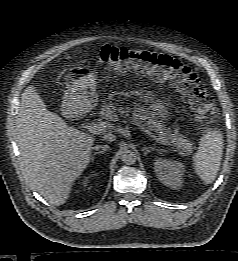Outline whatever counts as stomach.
<instances>
[{
  "label": "stomach",
  "instance_id": "obj_1",
  "mask_svg": "<svg viewBox=\"0 0 238 261\" xmlns=\"http://www.w3.org/2000/svg\"><path fill=\"white\" fill-rule=\"evenodd\" d=\"M97 76L94 71L84 67H73L69 70L65 84L63 106L73 114L89 112L97 103Z\"/></svg>",
  "mask_w": 238,
  "mask_h": 261
}]
</instances>
